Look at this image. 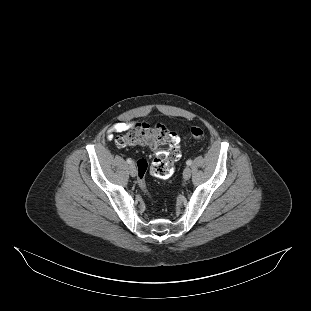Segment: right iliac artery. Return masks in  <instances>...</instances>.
<instances>
[{
    "mask_svg": "<svg viewBox=\"0 0 311 311\" xmlns=\"http://www.w3.org/2000/svg\"><path fill=\"white\" fill-rule=\"evenodd\" d=\"M128 164H132V160L130 158L127 159Z\"/></svg>",
    "mask_w": 311,
    "mask_h": 311,
    "instance_id": "right-iliac-artery-1",
    "label": "right iliac artery"
}]
</instances>
